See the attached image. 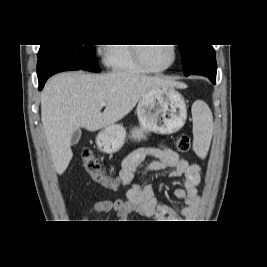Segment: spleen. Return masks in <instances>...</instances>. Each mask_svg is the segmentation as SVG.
Returning a JSON list of instances; mask_svg holds the SVG:
<instances>
[{"mask_svg":"<svg viewBox=\"0 0 267 267\" xmlns=\"http://www.w3.org/2000/svg\"><path fill=\"white\" fill-rule=\"evenodd\" d=\"M213 133V118L210 110L204 107L201 113L194 114L193 148L200 157H205Z\"/></svg>","mask_w":267,"mask_h":267,"instance_id":"3e777b00","label":"spleen"}]
</instances>
